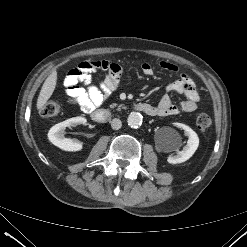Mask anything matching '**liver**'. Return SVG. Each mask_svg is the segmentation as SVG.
I'll return each mask as SVG.
<instances>
[{
  "instance_id": "6515ba94",
  "label": "liver",
  "mask_w": 247,
  "mask_h": 247,
  "mask_svg": "<svg viewBox=\"0 0 247 247\" xmlns=\"http://www.w3.org/2000/svg\"><path fill=\"white\" fill-rule=\"evenodd\" d=\"M56 83H57V72L56 70H54L43 83V86L41 88V91L37 99V104H36L37 109H41L46 104V102L48 101V99L51 97V95L55 90Z\"/></svg>"
}]
</instances>
